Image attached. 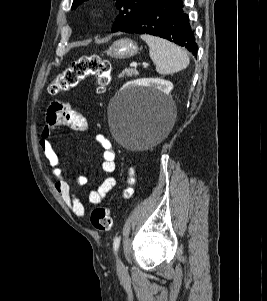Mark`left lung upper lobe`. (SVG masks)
Returning <instances> with one entry per match:
<instances>
[{"instance_id":"5c2ea615","label":"left lung upper lobe","mask_w":267,"mask_h":301,"mask_svg":"<svg viewBox=\"0 0 267 301\" xmlns=\"http://www.w3.org/2000/svg\"><path fill=\"white\" fill-rule=\"evenodd\" d=\"M86 0H74L72 9ZM119 9V15L115 19V23L111 32H117L122 26L133 21L152 0H115Z\"/></svg>"}]
</instances>
